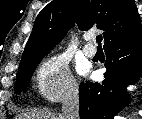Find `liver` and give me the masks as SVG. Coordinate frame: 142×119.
Masks as SVG:
<instances>
[{
  "label": "liver",
  "mask_w": 142,
  "mask_h": 119,
  "mask_svg": "<svg viewBox=\"0 0 142 119\" xmlns=\"http://www.w3.org/2000/svg\"><path fill=\"white\" fill-rule=\"evenodd\" d=\"M23 117H26L28 119H64L63 115H57L53 112L44 111V110H34L32 112H29L27 114H24Z\"/></svg>",
  "instance_id": "6515ba94"
}]
</instances>
